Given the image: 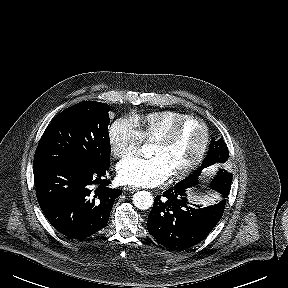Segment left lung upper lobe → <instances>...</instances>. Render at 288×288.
I'll list each match as a JSON object with an SVG mask.
<instances>
[{
    "label": "left lung upper lobe",
    "instance_id": "1",
    "mask_svg": "<svg viewBox=\"0 0 288 288\" xmlns=\"http://www.w3.org/2000/svg\"><path fill=\"white\" fill-rule=\"evenodd\" d=\"M229 153L227 146L223 139H219L218 141H211L210 149L201 165V167L188 176L187 178L183 179L182 181L178 182L181 184L187 185H195L198 183V177L201 174V171L215 163H224L228 160ZM232 183V175L226 171L223 172V169L219 171L218 176L212 182V188L220 191L224 194H229L230 187Z\"/></svg>",
    "mask_w": 288,
    "mask_h": 288
}]
</instances>
